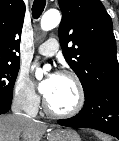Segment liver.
Here are the masks:
<instances>
[{
  "label": "liver",
  "instance_id": "1",
  "mask_svg": "<svg viewBox=\"0 0 119 141\" xmlns=\"http://www.w3.org/2000/svg\"><path fill=\"white\" fill-rule=\"evenodd\" d=\"M47 125L21 115L0 116V141H40Z\"/></svg>",
  "mask_w": 119,
  "mask_h": 141
}]
</instances>
